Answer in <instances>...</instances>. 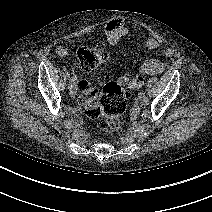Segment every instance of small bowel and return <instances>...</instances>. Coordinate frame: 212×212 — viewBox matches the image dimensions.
<instances>
[{
    "label": "small bowel",
    "instance_id": "c3829d8e",
    "mask_svg": "<svg viewBox=\"0 0 212 212\" xmlns=\"http://www.w3.org/2000/svg\"><path fill=\"white\" fill-rule=\"evenodd\" d=\"M102 31L106 35V39L109 45H116L122 38L128 35L129 30L125 22L121 19H112L110 20L103 28ZM137 39L150 50L158 49L161 46V42L153 37H142L138 36ZM56 53L61 57L70 56V51L60 45L56 48ZM164 54L167 57H172L175 55V50L172 47H166L164 49ZM166 68V63L158 59H147L141 65V72L154 75L162 73ZM80 98L84 95L86 88L89 86L88 82H80Z\"/></svg>",
    "mask_w": 212,
    "mask_h": 212
}]
</instances>
